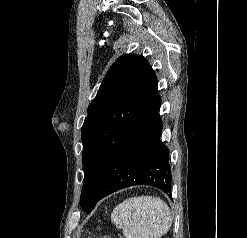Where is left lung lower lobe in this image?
I'll use <instances>...</instances> for the list:
<instances>
[{"label": "left lung lower lobe", "mask_w": 247, "mask_h": 238, "mask_svg": "<svg viewBox=\"0 0 247 238\" xmlns=\"http://www.w3.org/2000/svg\"><path fill=\"white\" fill-rule=\"evenodd\" d=\"M160 105L161 98L157 96L148 113L108 166L100 183L98 201L133 185H151L171 196L169 150L160 141Z\"/></svg>", "instance_id": "1"}]
</instances>
